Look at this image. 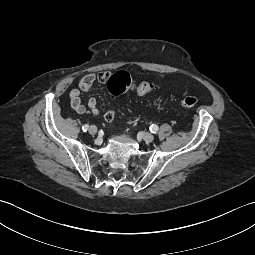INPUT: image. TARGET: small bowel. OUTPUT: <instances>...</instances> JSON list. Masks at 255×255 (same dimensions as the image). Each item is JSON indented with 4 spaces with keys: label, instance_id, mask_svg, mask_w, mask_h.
Segmentation results:
<instances>
[{
    "label": "small bowel",
    "instance_id": "obj_1",
    "mask_svg": "<svg viewBox=\"0 0 255 255\" xmlns=\"http://www.w3.org/2000/svg\"><path fill=\"white\" fill-rule=\"evenodd\" d=\"M109 78V73L106 71L99 72L97 74L94 73H89L80 78L78 81V86L77 88H74L70 91V101H71V106L72 108L77 112V113H85L86 111H89L93 115H99V109L97 106V100L95 98H90L87 102L86 105H84L81 101V94L84 92H88L93 84L98 81L100 83H104L108 80ZM114 117V112L113 111H107L104 114V119L106 121H111Z\"/></svg>",
    "mask_w": 255,
    "mask_h": 255
}]
</instances>
